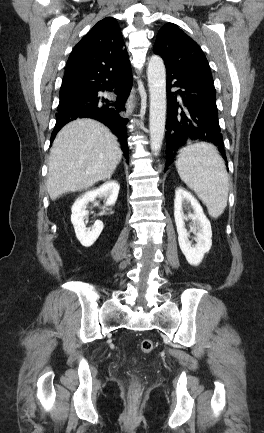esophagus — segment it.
I'll use <instances>...</instances> for the list:
<instances>
[{
    "instance_id": "1",
    "label": "esophagus",
    "mask_w": 264,
    "mask_h": 433,
    "mask_svg": "<svg viewBox=\"0 0 264 433\" xmlns=\"http://www.w3.org/2000/svg\"><path fill=\"white\" fill-rule=\"evenodd\" d=\"M135 102H136V97H135L134 90H132V92H131V94H130L129 98L127 99V102H126L127 112L131 113L133 111V109L135 107Z\"/></svg>"
}]
</instances>
